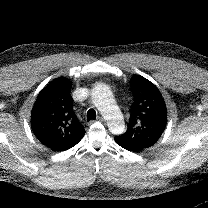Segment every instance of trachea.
Wrapping results in <instances>:
<instances>
[{
  "label": "trachea",
  "mask_w": 208,
  "mask_h": 208,
  "mask_svg": "<svg viewBox=\"0 0 208 208\" xmlns=\"http://www.w3.org/2000/svg\"><path fill=\"white\" fill-rule=\"evenodd\" d=\"M96 119V111L94 109H89L87 112V121Z\"/></svg>",
  "instance_id": "trachea-1"
}]
</instances>
